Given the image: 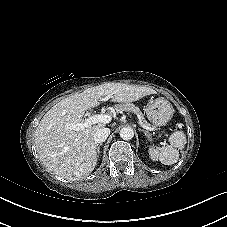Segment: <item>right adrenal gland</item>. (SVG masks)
<instances>
[{"label":"right adrenal gland","mask_w":227,"mask_h":227,"mask_svg":"<svg viewBox=\"0 0 227 227\" xmlns=\"http://www.w3.org/2000/svg\"><path fill=\"white\" fill-rule=\"evenodd\" d=\"M102 144H97V155H98V157H99V154H100V146H101Z\"/></svg>","instance_id":"obj_1"}]
</instances>
